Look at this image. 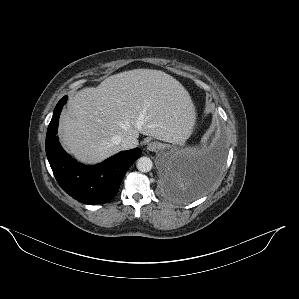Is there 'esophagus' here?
I'll return each mask as SVG.
<instances>
[{
	"mask_svg": "<svg viewBox=\"0 0 299 299\" xmlns=\"http://www.w3.org/2000/svg\"><path fill=\"white\" fill-rule=\"evenodd\" d=\"M158 149H159V144L155 141H152V142L148 143V145H147V150L148 151L153 152V151H156Z\"/></svg>",
	"mask_w": 299,
	"mask_h": 299,
	"instance_id": "obj_1",
	"label": "esophagus"
}]
</instances>
